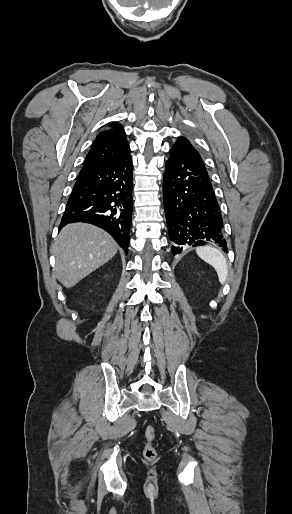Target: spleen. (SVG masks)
<instances>
[{
    "mask_svg": "<svg viewBox=\"0 0 292 514\" xmlns=\"http://www.w3.org/2000/svg\"><path fill=\"white\" fill-rule=\"evenodd\" d=\"M196 254L199 258H202L204 262H207V264L215 268L219 282L225 284L228 276V268L222 252L217 250V248H211V246H201V248H196Z\"/></svg>",
    "mask_w": 292,
    "mask_h": 514,
    "instance_id": "1",
    "label": "spleen"
}]
</instances>
